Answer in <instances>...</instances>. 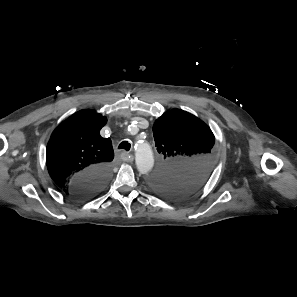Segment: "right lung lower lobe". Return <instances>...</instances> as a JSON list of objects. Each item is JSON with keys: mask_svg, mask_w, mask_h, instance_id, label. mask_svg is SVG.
I'll return each mask as SVG.
<instances>
[{"mask_svg": "<svg viewBox=\"0 0 297 297\" xmlns=\"http://www.w3.org/2000/svg\"><path fill=\"white\" fill-rule=\"evenodd\" d=\"M109 177V166L92 167L75 175L64 192L76 199H88L104 188Z\"/></svg>", "mask_w": 297, "mask_h": 297, "instance_id": "98d812e1", "label": "right lung lower lobe"}]
</instances>
